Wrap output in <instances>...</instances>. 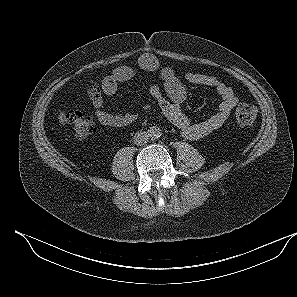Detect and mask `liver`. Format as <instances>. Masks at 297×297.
Returning a JSON list of instances; mask_svg holds the SVG:
<instances>
[{
  "label": "liver",
  "instance_id": "obj_1",
  "mask_svg": "<svg viewBox=\"0 0 297 297\" xmlns=\"http://www.w3.org/2000/svg\"><path fill=\"white\" fill-rule=\"evenodd\" d=\"M64 117H65L64 112H60V115H59V122H60V124H63L64 125V123L66 121V119Z\"/></svg>",
  "mask_w": 297,
  "mask_h": 297
}]
</instances>
